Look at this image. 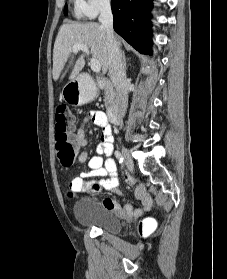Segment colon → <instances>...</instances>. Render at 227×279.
<instances>
[{
    "label": "colon",
    "mask_w": 227,
    "mask_h": 279,
    "mask_svg": "<svg viewBox=\"0 0 227 279\" xmlns=\"http://www.w3.org/2000/svg\"><path fill=\"white\" fill-rule=\"evenodd\" d=\"M73 124V114L70 109L60 104L56 108L55 114V152L60 162L64 166H70L74 163L77 155V148L71 143V126ZM95 192L98 187L93 188ZM148 228L147 225L144 226Z\"/></svg>",
    "instance_id": "1"
}]
</instances>
